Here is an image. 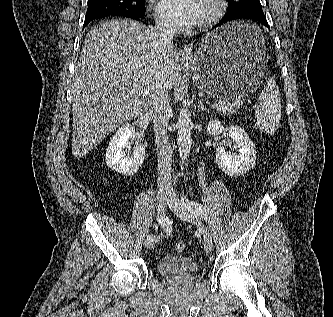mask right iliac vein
Segmentation results:
<instances>
[{
    "label": "right iliac vein",
    "instance_id": "right-iliac-vein-1",
    "mask_svg": "<svg viewBox=\"0 0 333 317\" xmlns=\"http://www.w3.org/2000/svg\"><path fill=\"white\" fill-rule=\"evenodd\" d=\"M158 213L160 215H164L165 210H166V205L168 203V199H169V193L167 191L164 190H160L158 192ZM155 241L146 239L144 241V247L145 248H151L153 246Z\"/></svg>",
    "mask_w": 333,
    "mask_h": 317
}]
</instances>
